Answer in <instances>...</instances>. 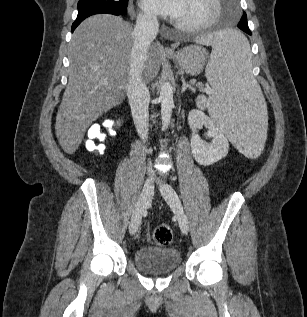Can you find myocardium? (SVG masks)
Segmentation results:
<instances>
[{"label":"myocardium","mask_w":307,"mask_h":317,"mask_svg":"<svg viewBox=\"0 0 307 317\" xmlns=\"http://www.w3.org/2000/svg\"><path fill=\"white\" fill-rule=\"evenodd\" d=\"M210 2L212 3L214 9L213 13L207 20L196 24H187L175 21V26L187 33H198L210 28L218 20L222 9L221 0H210Z\"/></svg>","instance_id":"myocardium-1"}]
</instances>
